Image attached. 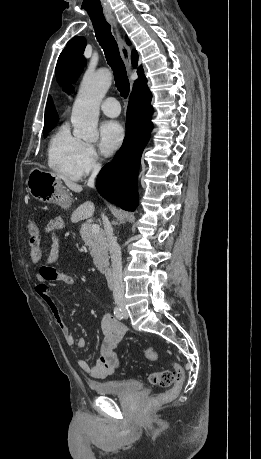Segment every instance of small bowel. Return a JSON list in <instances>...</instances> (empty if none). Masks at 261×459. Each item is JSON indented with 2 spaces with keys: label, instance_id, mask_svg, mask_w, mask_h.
I'll return each instance as SVG.
<instances>
[{
  "label": "small bowel",
  "instance_id": "obj_1",
  "mask_svg": "<svg viewBox=\"0 0 261 459\" xmlns=\"http://www.w3.org/2000/svg\"><path fill=\"white\" fill-rule=\"evenodd\" d=\"M62 227V221L59 219H53L45 225V231L52 233ZM53 260L54 257L50 256L40 266L38 271V283L35 290L49 308L67 344L70 346L84 348L86 346V340L84 338L76 339L70 332L69 327L64 322L49 289V284L51 282H63L67 285H74L75 279L72 276L58 272L55 268H53L51 265ZM101 329L103 333V340L100 346V355L98 360L94 364H91L87 359H80L78 361L79 367L91 377L96 379H103L115 371L119 363L116 348L126 332L125 326L109 313L103 316Z\"/></svg>",
  "mask_w": 261,
  "mask_h": 459
}]
</instances>
